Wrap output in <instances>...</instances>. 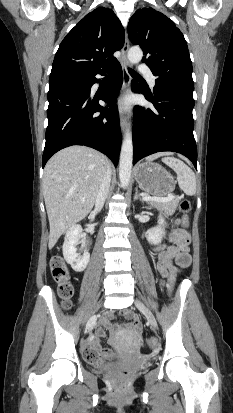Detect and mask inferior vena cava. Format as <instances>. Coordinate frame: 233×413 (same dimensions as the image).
<instances>
[{"label":"inferior vena cava","mask_w":233,"mask_h":413,"mask_svg":"<svg viewBox=\"0 0 233 413\" xmlns=\"http://www.w3.org/2000/svg\"><path fill=\"white\" fill-rule=\"evenodd\" d=\"M110 182H111V169H110V166L108 165L106 171L104 172V176H103V179L100 184V188L96 196L95 209H94L95 212H99L103 208L105 200L109 192Z\"/></svg>","instance_id":"602c4592"}]
</instances>
